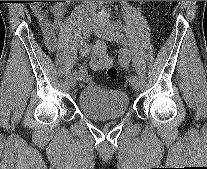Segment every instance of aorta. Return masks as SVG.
I'll list each match as a JSON object with an SVG mask.
<instances>
[{"label":"aorta","instance_id":"aorta-1","mask_svg":"<svg viewBox=\"0 0 207 169\" xmlns=\"http://www.w3.org/2000/svg\"><path fill=\"white\" fill-rule=\"evenodd\" d=\"M97 2H99V3H103L104 1H97Z\"/></svg>","mask_w":207,"mask_h":169}]
</instances>
